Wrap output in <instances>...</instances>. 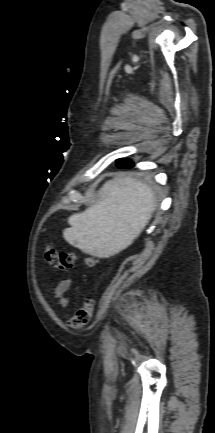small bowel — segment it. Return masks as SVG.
<instances>
[{"mask_svg": "<svg viewBox=\"0 0 215 433\" xmlns=\"http://www.w3.org/2000/svg\"><path fill=\"white\" fill-rule=\"evenodd\" d=\"M70 287V280L61 281L56 288V297L59 300V305L61 307H65L67 305V299L65 298V293L68 291Z\"/></svg>", "mask_w": 215, "mask_h": 433, "instance_id": "obj_1", "label": "small bowel"}]
</instances>
